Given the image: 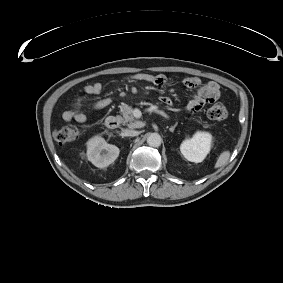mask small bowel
I'll list each match as a JSON object with an SVG mask.
<instances>
[{
    "label": "small bowel",
    "mask_w": 283,
    "mask_h": 283,
    "mask_svg": "<svg viewBox=\"0 0 283 283\" xmlns=\"http://www.w3.org/2000/svg\"><path fill=\"white\" fill-rule=\"evenodd\" d=\"M132 82H148L158 86H162L166 81L163 77H158L150 73L140 72L135 73L130 77ZM185 84L191 88H197L196 93L187 104V110L190 112H196L201 110L205 105L216 101L220 97L219 85L214 81H208L200 85V81L196 77L187 78ZM102 91V85L98 82L90 83L84 86L83 92L87 95H98ZM162 101L165 104L170 105L171 99L169 97H162ZM84 99L80 98L74 104V106L66 110L62 117L65 121H76L84 123L87 120V116L80 110ZM111 104L110 98H102L95 101L92 104L94 109L100 110L108 107Z\"/></svg>",
    "instance_id": "c3829d8e"
}]
</instances>
